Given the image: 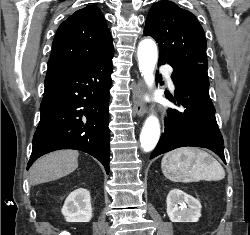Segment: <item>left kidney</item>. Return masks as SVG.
<instances>
[{"label": "left kidney", "instance_id": "5707ae66", "mask_svg": "<svg viewBox=\"0 0 250 235\" xmlns=\"http://www.w3.org/2000/svg\"><path fill=\"white\" fill-rule=\"evenodd\" d=\"M166 203L171 222H197L201 217L200 202L180 189L171 190Z\"/></svg>", "mask_w": 250, "mask_h": 235}]
</instances>
